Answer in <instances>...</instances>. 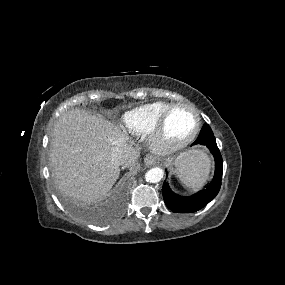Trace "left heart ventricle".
Masks as SVG:
<instances>
[{
  "mask_svg": "<svg viewBox=\"0 0 285 285\" xmlns=\"http://www.w3.org/2000/svg\"><path fill=\"white\" fill-rule=\"evenodd\" d=\"M196 117L185 109L174 111L166 125V136L168 139L177 141L187 137L195 128Z\"/></svg>",
  "mask_w": 285,
  "mask_h": 285,
  "instance_id": "1",
  "label": "left heart ventricle"
}]
</instances>
